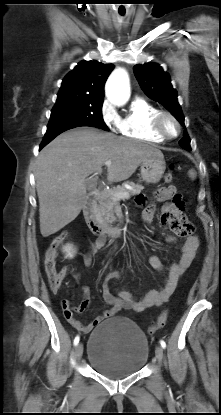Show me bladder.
Returning <instances> with one entry per match:
<instances>
[{"label": "bladder", "instance_id": "bladder-1", "mask_svg": "<svg viewBox=\"0 0 221 415\" xmlns=\"http://www.w3.org/2000/svg\"><path fill=\"white\" fill-rule=\"evenodd\" d=\"M149 343L144 332L130 319L114 317L90 333L87 359L92 368L108 378L133 375L146 364Z\"/></svg>", "mask_w": 221, "mask_h": 415}]
</instances>
